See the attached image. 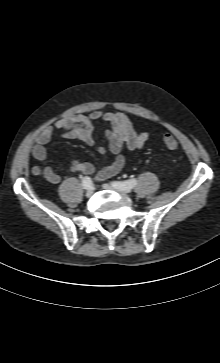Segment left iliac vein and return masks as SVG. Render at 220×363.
<instances>
[{"label": "left iliac vein", "mask_w": 220, "mask_h": 363, "mask_svg": "<svg viewBox=\"0 0 220 363\" xmlns=\"http://www.w3.org/2000/svg\"><path fill=\"white\" fill-rule=\"evenodd\" d=\"M103 188H104V189H107V190H116V191H119V192H122V193H126V191H123V190H121V189H119V188H116V187H114V186H111V185H109V184H104V185H103Z\"/></svg>", "instance_id": "obj_1"}]
</instances>
